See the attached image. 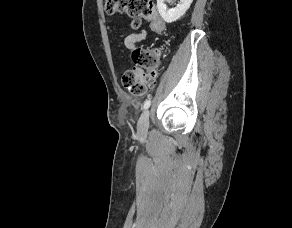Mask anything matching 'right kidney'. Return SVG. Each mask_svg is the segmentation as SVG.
<instances>
[{
    "instance_id": "1",
    "label": "right kidney",
    "mask_w": 292,
    "mask_h": 228,
    "mask_svg": "<svg viewBox=\"0 0 292 228\" xmlns=\"http://www.w3.org/2000/svg\"><path fill=\"white\" fill-rule=\"evenodd\" d=\"M192 2L193 0H180V3L175 8L167 10L165 0H157V8L163 20L167 23H172L186 13Z\"/></svg>"
}]
</instances>
